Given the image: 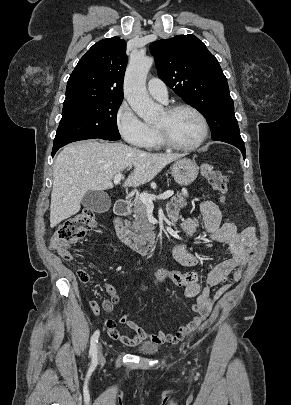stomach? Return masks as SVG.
Returning <instances> with one entry per match:
<instances>
[{"label":"stomach","instance_id":"stomach-1","mask_svg":"<svg viewBox=\"0 0 291 405\" xmlns=\"http://www.w3.org/2000/svg\"><path fill=\"white\" fill-rule=\"evenodd\" d=\"M199 167L187 158H181L172 164L171 173L175 182L181 186L190 185L198 175Z\"/></svg>","mask_w":291,"mask_h":405}]
</instances>
